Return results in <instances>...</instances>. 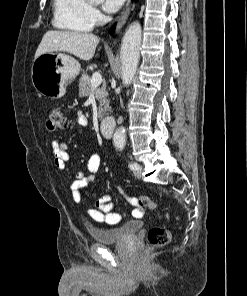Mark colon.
Here are the masks:
<instances>
[{
    "label": "colon",
    "instance_id": "1",
    "mask_svg": "<svg viewBox=\"0 0 247 296\" xmlns=\"http://www.w3.org/2000/svg\"><path fill=\"white\" fill-rule=\"evenodd\" d=\"M67 126V119L60 107H52L48 112L47 127L50 131L64 129ZM137 205L145 208H157V202L147 196L135 198ZM170 232L164 227H153L148 231L147 241L151 249L161 248L168 244Z\"/></svg>",
    "mask_w": 247,
    "mask_h": 296
}]
</instances>
